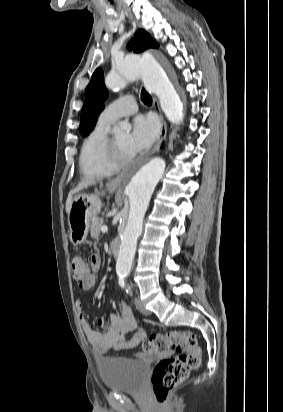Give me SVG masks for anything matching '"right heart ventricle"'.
<instances>
[{
	"instance_id": "e07e8e85",
	"label": "right heart ventricle",
	"mask_w": 283,
	"mask_h": 412,
	"mask_svg": "<svg viewBox=\"0 0 283 412\" xmlns=\"http://www.w3.org/2000/svg\"><path fill=\"white\" fill-rule=\"evenodd\" d=\"M109 125L99 119L85 138L79 155V168L83 177L109 176L117 170L108 158Z\"/></svg>"
}]
</instances>
